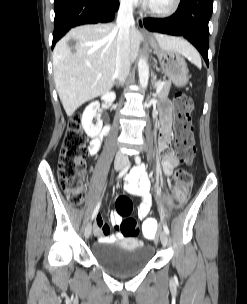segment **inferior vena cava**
<instances>
[{
  "mask_svg": "<svg viewBox=\"0 0 247 304\" xmlns=\"http://www.w3.org/2000/svg\"><path fill=\"white\" fill-rule=\"evenodd\" d=\"M134 26L133 4L131 0H124L120 4V8L116 20L117 51H116V69L115 78L120 84H123L130 72V28ZM129 163L126 155L118 152L115 157L116 167H122Z\"/></svg>",
  "mask_w": 247,
  "mask_h": 304,
  "instance_id": "inferior-vena-cava-1",
  "label": "inferior vena cava"
}]
</instances>
